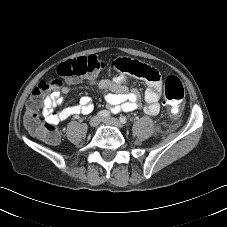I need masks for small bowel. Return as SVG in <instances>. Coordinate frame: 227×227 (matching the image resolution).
<instances>
[{"mask_svg": "<svg viewBox=\"0 0 227 227\" xmlns=\"http://www.w3.org/2000/svg\"><path fill=\"white\" fill-rule=\"evenodd\" d=\"M130 63V59H117L113 62V68L118 71L115 77L101 80L90 77L87 80L89 85L96 86L103 91L109 109L114 113L120 111L129 112L140 107L138 93L126 87L127 74L130 73L127 67ZM145 81L147 88L144 91V100L146 102L144 110L149 115H157L160 111L159 100L162 86L160 76L158 74L156 80L145 79ZM73 83H76V81ZM69 92V86H62L45 97L41 114L46 124L57 126L71 116L78 114L87 115L93 111L94 105L89 96H83L76 105L66 107L58 112L55 111L56 107L61 104L63 96Z\"/></svg>", "mask_w": 227, "mask_h": 227, "instance_id": "small-bowel-1", "label": "small bowel"}]
</instances>
